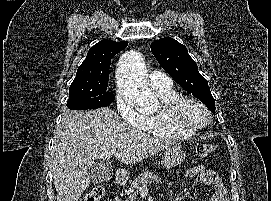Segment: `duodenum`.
Listing matches in <instances>:
<instances>
[{"instance_id":"obj_1","label":"duodenum","mask_w":271,"mask_h":201,"mask_svg":"<svg viewBox=\"0 0 271 201\" xmlns=\"http://www.w3.org/2000/svg\"><path fill=\"white\" fill-rule=\"evenodd\" d=\"M126 182V174L123 171H117L115 174V183L121 185Z\"/></svg>"}]
</instances>
